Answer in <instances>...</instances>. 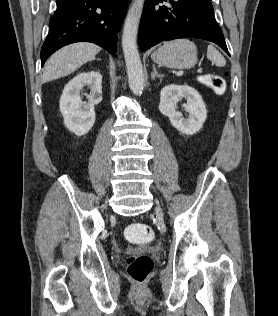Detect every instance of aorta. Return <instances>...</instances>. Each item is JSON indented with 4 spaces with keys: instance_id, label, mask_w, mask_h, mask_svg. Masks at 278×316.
I'll use <instances>...</instances> for the list:
<instances>
[{
    "instance_id": "obj_1",
    "label": "aorta",
    "mask_w": 278,
    "mask_h": 316,
    "mask_svg": "<svg viewBox=\"0 0 278 316\" xmlns=\"http://www.w3.org/2000/svg\"><path fill=\"white\" fill-rule=\"evenodd\" d=\"M145 0H133L125 19L122 48L126 62L128 83L135 95H141L144 89V73L137 49L138 27Z\"/></svg>"
}]
</instances>
